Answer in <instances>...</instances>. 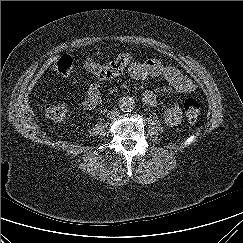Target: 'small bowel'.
I'll return each instance as SVG.
<instances>
[{"instance_id":"obj_1","label":"small bowel","mask_w":243,"mask_h":243,"mask_svg":"<svg viewBox=\"0 0 243 243\" xmlns=\"http://www.w3.org/2000/svg\"><path fill=\"white\" fill-rule=\"evenodd\" d=\"M129 75L135 80H142L147 77H161L178 93H191L196 88L190 78L182 74L175 67L157 59L132 63L129 68ZM159 96L160 94L155 91L146 90L142 94V99L147 105L157 108ZM80 102L84 108L89 110L94 109L101 102L99 83H91L84 91ZM163 118L167 126H178L182 119L180 106L174 104L167 108L164 111Z\"/></svg>"}]
</instances>
